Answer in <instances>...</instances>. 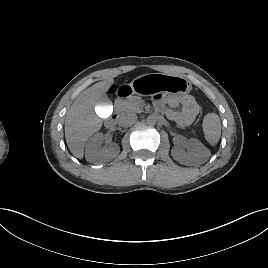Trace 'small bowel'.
<instances>
[{
  "label": "small bowel",
  "mask_w": 268,
  "mask_h": 268,
  "mask_svg": "<svg viewBox=\"0 0 268 268\" xmlns=\"http://www.w3.org/2000/svg\"><path fill=\"white\" fill-rule=\"evenodd\" d=\"M155 108L181 127L190 126L199 113L196 99L190 95L180 97L156 95Z\"/></svg>",
  "instance_id": "1"
}]
</instances>
